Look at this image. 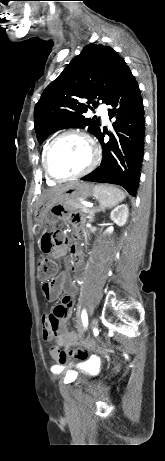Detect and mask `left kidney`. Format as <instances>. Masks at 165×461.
Masks as SVG:
<instances>
[{"instance_id":"5707ae66","label":"left kidney","mask_w":165,"mask_h":461,"mask_svg":"<svg viewBox=\"0 0 165 461\" xmlns=\"http://www.w3.org/2000/svg\"><path fill=\"white\" fill-rule=\"evenodd\" d=\"M128 214V206L126 204H122L112 210L110 218L118 226H124L127 222Z\"/></svg>"}]
</instances>
